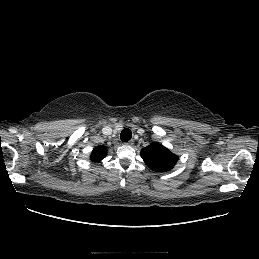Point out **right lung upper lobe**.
<instances>
[{
	"instance_id": "1",
	"label": "right lung upper lobe",
	"mask_w": 259,
	"mask_h": 259,
	"mask_svg": "<svg viewBox=\"0 0 259 259\" xmlns=\"http://www.w3.org/2000/svg\"><path fill=\"white\" fill-rule=\"evenodd\" d=\"M107 154V149L103 146L94 148L91 154V160L94 162L101 161Z\"/></svg>"
}]
</instances>
